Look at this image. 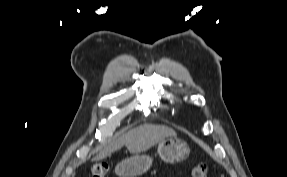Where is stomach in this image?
Wrapping results in <instances>:
<instances>
[{
  "instance_id": "1",
  "label": "stomach",
  "mask_w": 287,
  "mask_h": 177,
  "mask_svg": "<svg viewBox=\"0 0 287 177\" xmlns=\"http://www.w3.org/2000/svg\"><path fill=\"white\" fill-rule=\"evenodd\" d=\"M158 154L167 163L185 160L190 153L188 144L179 139H167L159 142ZM152 165V158L148 155L135 154L115 167V172L120 177H136L144 174Z\"/></svg>"
}]
</instances>
